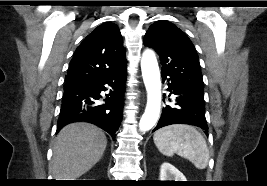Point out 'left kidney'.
<instances>
[{
	"label": "left kidney",
	"instance_id": "left-kidney-1",
	"mask_svg": "<svg viewBox=\"0 0 267 186\" xmlns=\"http://www.w3.org/2000/svg\"><path fill=\"white\" fill-rule=\"evenodd\" d=\"M160 181H186V179L177 168L165 162L160 168Z\"/></svg>",
	"mask_w": 267,
	"mask_h": 186
}]
</instances>
